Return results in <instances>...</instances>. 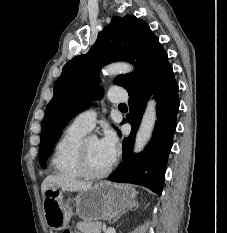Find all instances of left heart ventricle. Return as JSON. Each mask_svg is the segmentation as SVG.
I'll return each instance as SVG.
<instances>
[{
  "instance_id": "obj_1",
  "label": "left heart ventricle",
  "mask_w": 227,
  "mask_h": 233,
  "mask_svg": "<svg viewBox=\"0 0 227 233\" xmlns=\"http://www.w3.org/2000/svg\"><path fill=\"white\" fill-rule=\"evenodd\" d=\"M87 152L90 166L97 171L105 169L111 162L108 156L101 150L99 141L88 139Z\"/></svg>"
}]
</instances>
